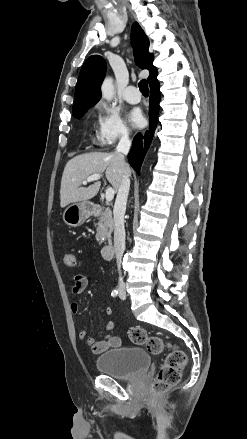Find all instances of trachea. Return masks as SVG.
<instances>
[{"label":"trachea","instance_id":"trachea-1","mask_svg":"<svg viewBox=\"0 0 247 439\" xmlns=\"http://www.w3.org/2000/svg\"><path fill=\"white\" fill-rule=\"evenodd\" d=\"M139 89H140L141 93H142L144 96H148V95H149V91H148V83H147V81H146L145 79H143V80H141V81L139 82Z\"/></svg>","mask_w":247,"mask_h":439}]
</instances>
